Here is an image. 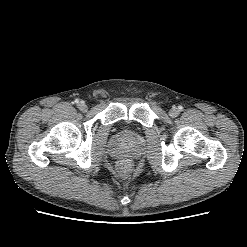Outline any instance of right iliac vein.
<instances>
[{"instance_id": "63e3f726", "label": "right iliac vein", "mask_w": 247, "mask_h": 247, "mask_svg": "<svg viewBox=\"0 0 247 247\" xmlns=\"http://www.w3.org/2000/svg\"><path fill=\"white\" fill-rule=\"evenodd\" d=\"M78 109H79L80 111H82V112H86L87 109H88V107H87V105H86L85 103L80 102V103L78 104Z\"/></svg>"}]
</instances>
